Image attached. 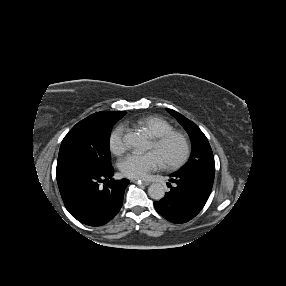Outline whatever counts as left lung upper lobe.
Instances as JSON below:
<instances>
[{"mask_svg": "<svg viewBox=\"0 0 286 286\" xmlns=\"http://www.w3.org/2000/svg\"><path fill=\"white\" fill-rule=\"evenodd\" d=\"M179 123L188 132L192 142V152L189 161L178 171L193 172V171H214L215 162L210 144L200 130V128L192 121L181 115L180 113L167 109Z\"/></svg>", "mask_w": 286, "mask_h": 286, "instance_id": "left-lung-upper-lobe-1", "label": "left lung upper lobe"}]
</instances>
